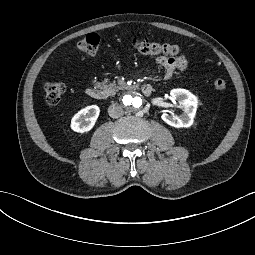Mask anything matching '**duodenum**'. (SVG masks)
Returning a JSON list of instances; mask_svg holds the SVG:
<instances>
[{
  "label": "duodenum",
  "mask_w": 255,
  "mask_h": 255,
  "mask_svg": "<svg viewBox=\"0 0 255 255\" xmlns=\"http://www.w3.org/2000/svg\"><path fill=\"white\" fill-rule=\"evenodd\" d=\"M152 86L150 84H144L142 86V92L146 95L149 96L152 93ZM86 94L88 97L94 100H99L102 97L101 91L95 87H88L86 89Z\"/></svg>",
  "instance_id": "410a0bca"
}]
</instances>
